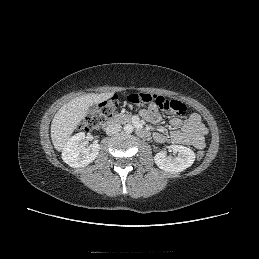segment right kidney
I'll return each mask as SVG.
<instances>
[{"mask_svg":"<svg viewBox=\"0 0 259 259\" xmlns=\"http://www.w3.org/2000/svg\"><path fill=\"white\" fill-rule=\"evenodd\" d=\"M85 133L80 132L72 136L62 150V159L73 168L85 167L92 163L99 154V144L84 145Z\"/></svg>","mask_w":259,"mask_h":259,"instance_id":"obj_1","label":"right kidney"}]
</instances>
